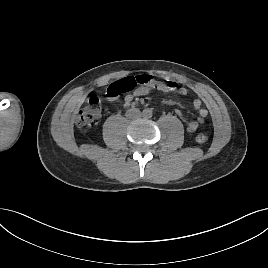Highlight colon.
<instances>
[{
  "mask_svg": "<svg viewBox=\"0 0 268 268\" xmlns=\"http://www.w3.org/2000/svg\"><path fill=\"white\" fill-rule=\"evenodd\" d=\"M138 86L157 89L164 92H173L177 89V84L173 81H157L153 76L143 74L125 77L110 84L105 89V96L109 99H116L124 93L133 91ZM100 118L101 107L99 99L97 97H91L86 106L79 111L77 124L82 127L91 128L99 122ZM207 139V135L204 133H198L195 136V140L199 144L205 143Z\"/></svg>",
  "mask_w": 268,
  "mask_h": 268,
  "instance_id": "1",
  "label": "colon"
}]
</instances>
